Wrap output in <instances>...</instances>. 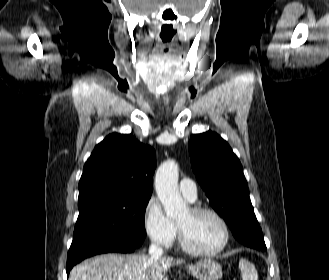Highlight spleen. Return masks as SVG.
I'll list each match as a JSON object with an SVG mask.
<instances>
[{
    "label": "spleen",
    "instance_id": "3e777b00",
    "mask_svg": "<svg viewBox=\"0 0 329 280\" xmlns=\"http://www.w3.org/2000/svg\"><path fill=\"white\" fill-rule=\"evenodd\" d=\"M239 269L241 271L242 280H258V273L255 266L246 259H240Z\"/></svg>",
    "mask_w": 329,
    "mask_h": 280
}]
</instances>
